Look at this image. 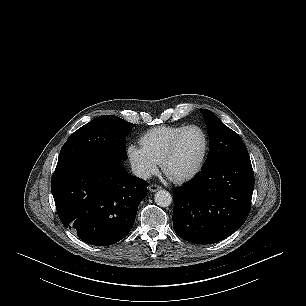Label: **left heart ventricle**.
Returning a JSON list of instances; mask_svg holds the SVG:
<instances>
[{"label":"left heart ventricle","mask_w":306,"mask_h":306,"mask_svg":"<svg viewBox=\"0 0 306 306\" xmlns=\"http://www.w3.org/2000/svg\"><path fill=\"white\" fill-rule=\"evenodd\" d=\"M204 151V137L197 129L188 130L182 137L175 156L167 165V174L178 177L192 172Z\"/></svg>","instance_id":"1"}]
</instances>
